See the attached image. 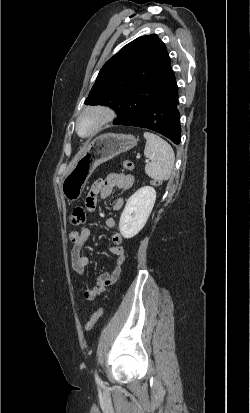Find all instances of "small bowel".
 I'll return each instance as SVG.
<instances>
[{
    "instance_id": "small-bowel-1",
    "label": "small bowel",
    "mask_w": 250,
    "mask_h": 413,
    "mask_svg": "<svg viewBox=\"0 0 250 413\" xmlns=\"http://www.w3.org/2000/svg\"><path fill=\"white\" fill-rule=\"evenodd\" d=\"M134 184V177L129 174L112 173L104 178L97 179L91 189L90 193L85 195V205L92 209L97 197L105 199L111 195L113 190L127 191L131 189ZM123 205V199L119 198L114 208L119 210ZM90 212L89 210L87 211ZM107 228H114L116 226V220L113 217H109L105 220ZM91 230L85 227L81 230H73L69 234V239L72 243L71 249V262L74 271L78 275H83L85 268L89 265L90 259L88 256L82 253V250L86 246ZM112 246L109 247V251L115 256L114 268L110 272H103L99 275L96 284L84 291V297L87 300H93L106 288L117 281L121 273V267L125 261L126 250L123 243V237L119 232H115L111 236Z\"/></svg>"
}]
</instances>
